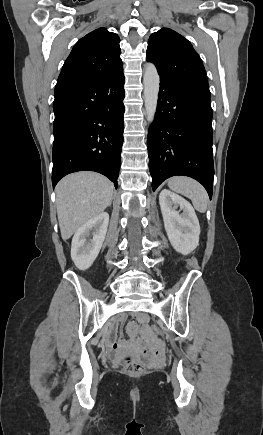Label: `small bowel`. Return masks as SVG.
<instances>
[{"instance_id": "small-bowel-1", "label": "small bowel", "mask_w": 263, "mask_h": 435, "mask_svg": "<svg viewBox=\"0 0 263 435\" xmlns=\"http://www.w3.org/2000/svg\"><path fill=\"white\" fill-rule=\"evenodd\" d=\"M125 317H121L120 321L123 322ZM138 320L142 324H146L149 321L147 314H140ZM137 325L132 324V331L137 330ZM160 335L157 332H144V341H151L149 347H142V338L140 336H133L131 341H127L123 336H120L118 341L110 344L111 349L116 352L123 351H133L139 352L141 350L142 356H151L152 361L156 364H163L165 362V357L162 355L163 343L162 341H157ZM142 347V349H141Z\"/></svg>"}]
</instances>
